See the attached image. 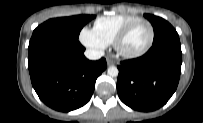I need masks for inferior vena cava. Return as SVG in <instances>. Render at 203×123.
I'll list each match as a JSON object with an SVG mask.
<instances>
[{
  "label": "inferior vena cava",
  "instance_id": "1",
  "mask_svg": "<svg viewBox=\"0 0 203 123\" xmlns=\"http://www.w3.org/2000/svg\"><path fill=\"white\" fill-rule=\"evenodd\" d=\"M84 55L86 56V58H88L90 60H98L104 56V51L95 50V49H87L84 52Z\"/></svg>",
  "mask_w": 203,
  "mask_h": 123
}]
</instances>
